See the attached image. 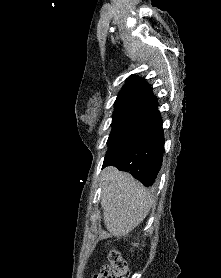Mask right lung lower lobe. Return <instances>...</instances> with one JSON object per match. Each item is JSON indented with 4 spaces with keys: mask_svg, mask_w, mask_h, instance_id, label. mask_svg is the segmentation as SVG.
Wrapping results in <instances>:
<instances>
[{
    "mask_svg": "<svg viewBox=\"0 0 221 278\" xmlns=\"http://www.w3.org/2000/svg\"><path fill=\"white\" fill-rule=\"evenodd\" d=\"M155 112L126 141L105 156L103 167L114 165L127 171L145 186L152 185L161 168L164 152L162 119L157 107V98L150 100Z\"/></svg>",
    "mask_w": 221,
    "mask_h": 278,
    "instance_id": "1",
    "label": "right lung lower lobe"
}]
</instances>
